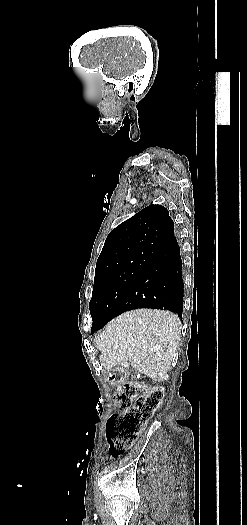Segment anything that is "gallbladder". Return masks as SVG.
<instances>
[{
	"label": "gallbladder",
	"mask_w": 247,
	"mask_h": 525,
	"mask_svg": "<svg viewBox=\"0 0 247 525\" xmlns=\"http://www.w3.org/2000/svg\"><path fill=\"white\" fill-rule=\"evenodd\" d=\"M128 372H129L130 374H134V373H136V368H134V367H130V368L128 369Z\"/></svg>",
	"instance_id": "gallbladder-1"
}]
</instances>
